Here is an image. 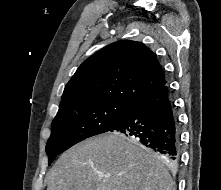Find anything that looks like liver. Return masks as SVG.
<instances>
[{
  "label": "liver",
  "instance_id": "1",
  "mask_svg": "<svg viewBox=\"0 0 221 190\" xmlns=\"http://www.w3.org/2000/svg\"><path fill=\"white\" fill-rule=\"evenodd\" d=\"M120 133L86 139L47 173V190H173L165 166Z\"/></svg>",
  "mask_w": 221,
  "mask_h": 190
}]
</instances>
